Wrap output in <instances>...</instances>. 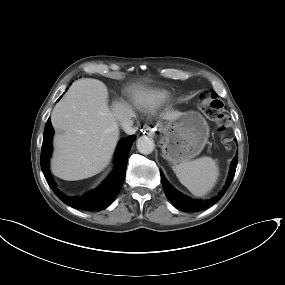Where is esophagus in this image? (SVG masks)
<instances>
[{"mask_svg":"<svg viewBox=\"0 0 285 285\" xmlns=\"http://www.w3.org/2000/svg\"><path fill=\"white\" fill-rule=\"evenodd\" d=\"M145 133H146L148 136H154V130H153L151 127H146Z\"/></svg>","mask_w":285,"mask_h":285,"instance_id":"obj_1","label":"esophagus"}]
</instances>
